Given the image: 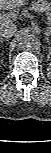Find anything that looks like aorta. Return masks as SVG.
<instances>
[{"mask_svg": "<svg viewBox=\"0 0 51 153\" xmlns=\"http://www.w3.org/2000/svg\"><path fill=\"white\" fill-rule=\"evenodd\" d=\"M37 43V37L33 33L23 32L19 35L17 46L20 50H31Z\"/></svg>", "mask_w": 51, "mask_h": 153, "instance_id": "1", "label": "aorta"}]
</instances>
